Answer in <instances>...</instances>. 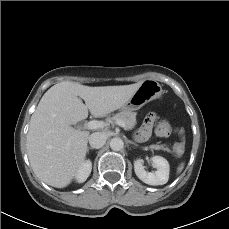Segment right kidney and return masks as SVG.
Instances as JSON below:
<instances>
[{
  "label": "right kidney",
  "mask_w": 229,
  "mask_h": 229,
  "mask_svg": "<svg viewBox=\"0 0 229 229\" xmlns=\"http://www.w3.org/2000/svg\"><path fill=\"white\" fill-rule=\"evenodd\" d=\"M92 170V163L90 160H86L80 169L77 171L76 180L78 183H83L87 180Z\"/></svg>",
  "instance_id": "obj_1"
}]
</instances>
